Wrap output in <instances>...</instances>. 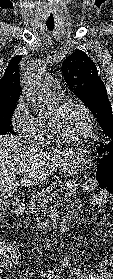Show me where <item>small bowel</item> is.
<instances>
[{
	"label": "small bowel",
	"mask_w": 113,
	"mask_h": 279,
	"mask_svg": "<svg viewBox=\"0 0 113 279\" xmlns=\"http://www.w3.org/2000/svg\"><path fill=\"white\" fill-rule=\"evenodd\" d=\"M95 189V183L92 180L87 181L84 184V191L85 193H90L92 191H94ZM106 201H110L111 203H113V197L109 196L107 194H100L96 197H94L93 199V203L95 205H102L104 204ZM17 263L13 262L10 264V266H16ZM72 273V277L73 279H113V273L107 271L104 268H99L94 272H84L80 269L74 268L71 270ZM1 279V278H0Z\"/></svg>",
	"instance_id": "c3829d8e"
}]
</instances>
